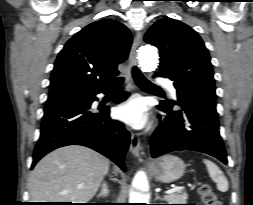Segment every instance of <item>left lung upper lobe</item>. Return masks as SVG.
<instances>
[{"mask_svg":"<svg viewBox=\"0 0 253 205\" xmlns=\"http://www.w3.org/2000/svg\"><path fill=\"white\" fill-rule=\"evenodd\" d=\"M145 41L160 50L159 71L182 87L177 97L194 96L216 103L210 56L192 28L178 20L162 18L150 27Z\"/></svg>","mask_w":253,"mask_h":205,"instance_id":"1","label":"left lung upper lobe"}]
</instances>
